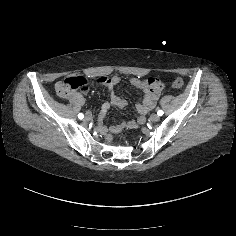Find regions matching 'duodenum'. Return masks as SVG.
Wrapping results in <instances>:
<instances>
[{
	"label": "duodenum",
	"mask_w": 236,
	"mask_h": 236,
	"mask_svg": "<svg viewBox=\"0 0 236 236\" xmlns=\"http://www.w3.org/2000/svg\"><path fill=\"white\" fill-rule=\"evenodd\" d=\"M108 82H109L108 85L110 87H112L113 85L117 84V82H115L114 80H109ZM135 85L138 86V87H141V88H143V89H145L147 91V97H146L145 101L138 106V108H142L156 94V91H157L156 90V84H150V83H147V82H136ZM74 102L75 103H79V101H74ZM122 127L123 126H118L117 128H115V131L116 132L120 131L122 129Z\"/></svg>",
	"instance_id": "obj_1"
}]
</instances>
